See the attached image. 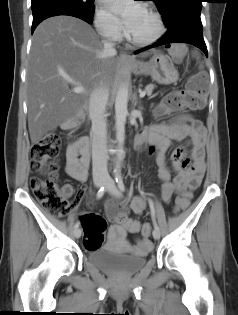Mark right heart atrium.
<instances>
[{
    "label": "right heart atrium",
    "mask_w": 238,
    "mask_h": 315,
    "mask_svg": "<svg viewBox=\"0 0 238 315\" xmlns=\"http://www.w3.org/2000/svg\"><path fill=\"white\" fill-rule=\"evenodd\" d=\"M94 22L98 33L108 40H117L122 34L120 23L103 7L96 10Z\"/></svg>",
    "instance_id": "1"
}]
</instances>
